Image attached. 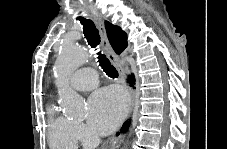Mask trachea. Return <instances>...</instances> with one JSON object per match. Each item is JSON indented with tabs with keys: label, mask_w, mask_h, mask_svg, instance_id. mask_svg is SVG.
Returning <instances> with one entry per match:
<instances>
[{
	"label": "trachea",
	"mask_w": 227,
	"mask_h": 149,
	"mask_svg": "<svg viewBox=\"0 0 227 149\" xmlns=\"http://www.w3.org/2000/svg\"><path fill=\"white\" fill-rule=\"evenodd\" d=\"M81 24L83 25V33L87 39L88 44L95 48L100 44V35L99 31L96 28L95 24L91 20L80 19ZM99 65L103 71L111 78H117L118 72L116 68L110 63L109 59L99 51L98 53Z\"/></svg>",
	"instance_id": "trachea-1"
}]
</instances>
